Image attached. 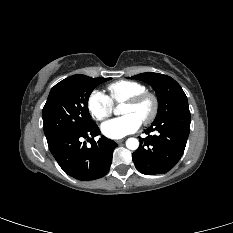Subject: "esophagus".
<instances>
[{
	"label": "esophagus",
	"mask_w": 233,
	"mask_h": 233,
	"mask_svg": "<svg viewBox=\"0 0 233 233\" xmlns=\"http://www.w3.org/2000/svg\"><path fill=\"white\" fill-rule=\"evenodd\" d=\"M124 141V139H119L116 141L117 144H121Z\"/></svg>",
	"instance_id": "1"
}]
</instances>
